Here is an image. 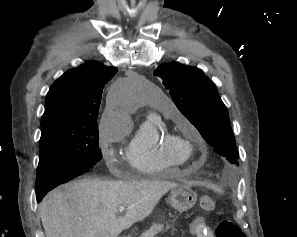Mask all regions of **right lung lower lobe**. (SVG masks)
<instances>
[{
  "mask_svg": "<svg viewBox=\"0 0 297 237\" xmlns=\"http://www.w3.org/2000/svg\"><path fill=\"white\" fill-rule=\"evenodd\" d=\"M80 174H71V175H68V176H65V177H61L57 180V183L55 184V187L60 185V184H63V183H66V182H69L73 179H75L76 177H78ZM54 187L52 188H48V189H44V190H39V188H36V198H37V201H40L42 199V197H44L47 192H49L50 190H52Z\"/></svg>",
  "mask_w": 297,
  "mask_h": 237,
  "instance_id": "right-lung-lower-lobe-1",
  "label": "right lung lower lobe"
}]
</instances>
